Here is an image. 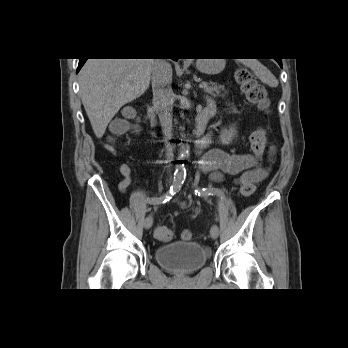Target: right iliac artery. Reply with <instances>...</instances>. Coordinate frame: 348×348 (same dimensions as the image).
Listing matches in <instances>:
<instances>
[{"mask_svg": "<svg viewBox=\"0 0 348 348\" xmlns=\"http://www.w3.org/2000/svg\"><path fill=\"white\" fill-rule=\"evenodd\" d=\"M186 178V170L185 168H180L176 170L174 174L173 184L169 188V190L161 197L155 198V196H147L146 200L151 201L153 204H161L169 201L173 195H175L182 187Z\"/></svg>", "mask_w": 348, "mask_h": 348, "instance_id": "1", "label": "right iliac artery"}]
</instances>
